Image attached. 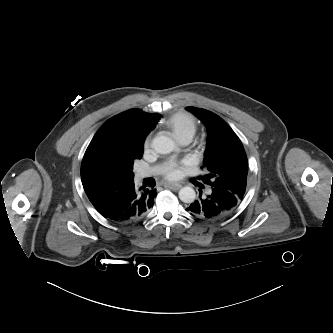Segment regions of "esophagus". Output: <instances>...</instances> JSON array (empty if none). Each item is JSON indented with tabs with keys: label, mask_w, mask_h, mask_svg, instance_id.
<instances>
[{
	"label": "esophagus",
	"mask_w": 333,
	"mask_h": 333,
	"mask_svg": "<svg viewBox=\"0 0 333 333\" xmlns=\"http://www.w3.org/2000/svg\"><path fill=\"white\" fill-rule=\"evenodd\" d=\"M165 187L176 191V190L180 189L182 187V185L178 184V183H167V184H165Z\"/></svg>",
	"instance_id": "34e87169"
}]
</instances>
